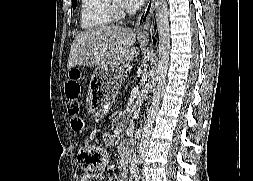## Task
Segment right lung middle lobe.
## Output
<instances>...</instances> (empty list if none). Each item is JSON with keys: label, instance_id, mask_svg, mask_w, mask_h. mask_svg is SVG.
Listing matches in <instances>:
<instances>
[{"label": "right lung middle lobe", "instance_id": "right-lung-middle-lobe-1", "mask_svg": "<svg viewBox=\"0 0 253 181\" xmlns=\"http://www.w3.org/2000/svg\"><path fill=\"white\" fill-rule=\"evenodd\" d=\"M72 7L75 9L76 8V0H72Z\"/></svg>", "mask_w": 253, "mask_h": 181}]
</instances>
